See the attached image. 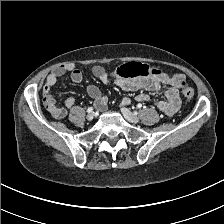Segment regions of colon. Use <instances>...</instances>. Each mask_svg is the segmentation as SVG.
Here are the masks:
<instances>
[{
	"label": "colon",
	"instance_id": "5ec220e1",
	"mask_svg": "<svg viewBox=\"0 0 224 224\" xmlns=\"http://www.w3.org/2000/svg\"><path fill=\"white\" fill-rule=\"evenodd\" d=\"M159 71L156 66H149L142 63H129L119 69L118 75L122 78L146 77L151 74H156ZM178 86L181 94L186 99H192L194 97V89L184 79L179 81Z\"/></svg>",
	"mask_w": 224,
	"mask_h": 224
}]
</instances>
